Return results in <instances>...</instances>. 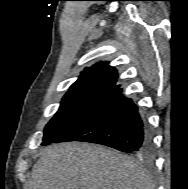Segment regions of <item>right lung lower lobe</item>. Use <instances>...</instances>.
<instances>
[{
    "mask_svg": "<svg viewBox=\"0 0 188 189\" xmlns=\"http://www.w3.org/2000/svg\"><path fill=\"white\" fill-rule=\"evenodd\" d=\"M121 91L107 94L52 142L83 141L127 153L147 152L152 141L147 120Z\"/></svg>",
    "mask_w": 188,
    "mask_h": 189,
    "instance_id": "right-lung-lower-lobe-1",
    "label": "right lung lower lobe"
}]
</instances>
